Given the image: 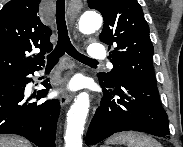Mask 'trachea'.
Returning a JSON list of instances; mask_svg holds the SVG:
<instances>
[{"mask_svg": "<svg viewBox=\"0 0 183 147\" xmlns=\"http://www.w3.org/2000/svg\"><path fill=\"white\" fill-rule=\"evenodd\" d=\"M56 22L58 29V42L53 52L47 56V68L54 67L57 64L59 58L62 57L65 52L82 63L98 62L95 59L81 54L72 45L65 20V0H57Z\"/></svg>", "mask_w": 183, "mask_h": 147, "instance_id": "1", "label": "trachea"}]
</instances>
